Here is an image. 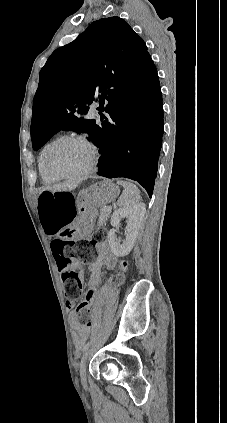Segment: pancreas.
Listing matches in <instances>:
<instances>
[{
    "label": "pancreas",
    "instance_id": "cf45deb5",
    "mask_svg": "<svg viewBox=\"0 0 227 423\" xmlns=\"http://www.w3.org/2000/svg\"><path fill=\"white\" fill-rule=\"evenodd\" d=\"M101 210H100V215H99V219H98V223L99 225H101L102 221H105V219H107L110 211L106 210V206H100Z\"/></svg>",
    "mask_w": 227,
    "mask_h": 423
}]
</instances>
